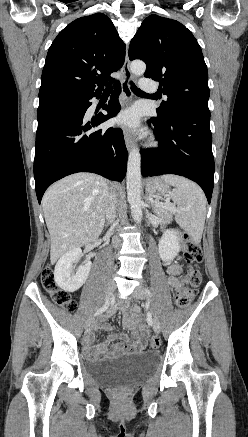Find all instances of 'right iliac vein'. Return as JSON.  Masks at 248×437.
Segmentation results:
<instances>
[{
  "instance_id": "1",
  "label": "right iliac vein",
  "mask_w": 248,
  "mask_h": 437,
  "mask_svg": "<svg viewBox=\"0 0 248 437\" xmlns=\"http://www.w3.org/2000/svg\"><path fill=\"white\" fill-rule=\"evenodd\" d=\"M114 289H115L114 281L113 280L108 281L107 284H106V287H105V292H104V298L103 299L107 300L110 297V295L112 294V292L114 291ZM94 323H95V321H94L93 317H90L87 320V322L85 324V330H86L87 333L91 331V329L94 326Z\"/></svg>"
}]
</instances>
